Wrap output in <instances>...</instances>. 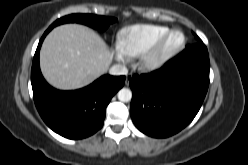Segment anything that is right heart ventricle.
I'll return each instance as SVG.
<instances>
[{"label": "right heart ventricle", "mask_w": 248, "mask_h": 165, "mask_svg": "<svg viewBox=\"0 0 248 165\" xmlns=\"http://www.w3.org/2000/svg\"><path fill=\"white\" fill-rule=\"evenodd\" d=\"M168 27L155 24H138L124 29L119 36L118 48L128 58L141 55Z\"/></svg>", "instance_id": "1"}]
</instances>
